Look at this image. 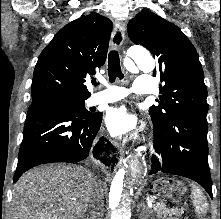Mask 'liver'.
Here are the masks:
<instances>
[{"label":"liver","instance_id":"1","mask_svg":"<svg viewBox=\"0 0 221 219\" xmlns=\"http://www.w3.org/2000/svg\"><path fill=\"white\" fill-rule=\"evenodd\" d=\"M104 184L76 165L36 167L14 185L9 219H75L89 207L91 194Z\"/></svg>","mask_w":221,"mask_h":219}]
</instances>
